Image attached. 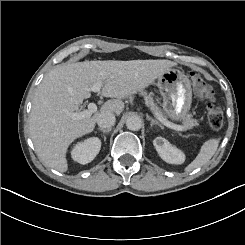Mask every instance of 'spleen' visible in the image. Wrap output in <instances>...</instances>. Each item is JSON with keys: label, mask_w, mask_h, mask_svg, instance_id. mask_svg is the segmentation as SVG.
<instances>
[{"label": "spleen", "mask_w": 245, "mask_h": 245, "mask_svg": "<svg viewBox=\"0 0 245 245\" xmlns=\"http://www.w3.org/2000/svg\"><path fill=\"white\" fill-rule=\"evenodd\" d=\"M217 149V142L210 140L206 142L196 159L187 166L186 171H192L198 167L205 165L214 155Z\"/></svg>", "instance_id": "spleen-1"}]
</instances>
